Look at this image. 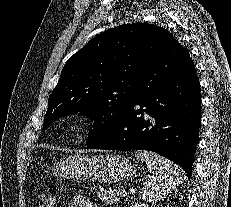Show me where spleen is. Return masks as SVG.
<instances>
[{
	"label": "spleen",
	"instance_id": "3e777b00",
	"mask_svg": "<svg viewBox=\"0 0 231 207\" xmlns=\"http://www.w3.org/2000/svg\"><path fill=\"white\" fill-rule=\"evenodd\" d=\"M135 157L143 162L151 176L143 187V198L157 202L167 196L184 180V171L171 161L148 151L138 150Z\"/></svg>",
	"mask_w": 231,
	"mask_h": 207
}]
</instances>
